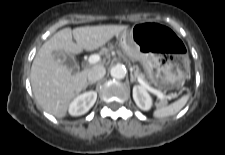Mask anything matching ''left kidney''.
Listing matches in <instances>:
<instances>
[{"label":"left kidney","instance_id":"obj_1","mask_svg":"<svg viewBox=\"0 0 225 155\" xmlns=\"http://www.w3.org/2000/svg\"><path fill=\"white\" fill-rule=\"evenodd\" d=\"M133 99L141 110L148 111L152 107V98L141 85L133 87Z\"/></svg>","mask_w":225,"mask_h":155}]
</instances>
